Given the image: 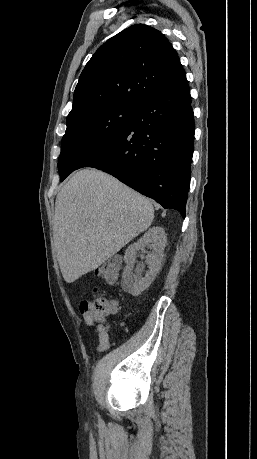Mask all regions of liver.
<instances>
[{
    "label": "liver",
    "instance_id": "6515ba94",
    "mask_svg": "<svg viewBox=\"0 0 257 459\" xmlns=\"http://www.w3.org/2000/svg\"><path fill=\"white\" fill-rule=\"evenodd\" d=\"M151 202L97 169L76 172L56 197L53 237L62 276L73 283L152 224Z\"/></svg>",
    "mask_w": 257,
    "mask_h": 459
}]
</instances>
